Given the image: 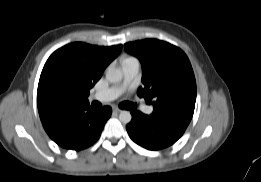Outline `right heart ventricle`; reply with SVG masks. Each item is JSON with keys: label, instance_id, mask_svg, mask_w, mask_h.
Segmentation results:
<instances>
[{"label": "right heart ventricle", "instance_id": "obj_1", "mask_svg": "<svg viewBox=\"0 0 261 182\" xmlns=\"http://www.w3.org/2000/svg\"><path fill=\"white\" fill-rule=\"evenodd\" d=\"M133 60H136L135 58L133 57H127L123 60V64L126 63V62H129V61H133Z\"/></svg>", "mask_w": 261, "mask_h": 182}]
</instances>
